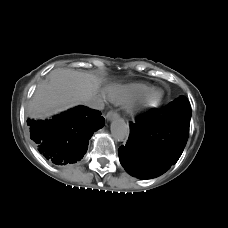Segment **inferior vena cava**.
I'll return each instance as SVG.
<instances>
[{
  "mask_svg": "<svg viewBox=\"0 0 228 228\" xmlns=\"http://www.w3.org/2000/svg\"><path fill=\"white\" fill-rule=\"evenodd\" d=\"M87 107L96 110H103L104 109V101L101 97H94L91 98L84 103Z\"/></svg>",
  "mask_w": 228,
  "mask_h": 228,
  "instance_id": "obj_1",
  "label": "inferior vena cava"
}]
</instances>
